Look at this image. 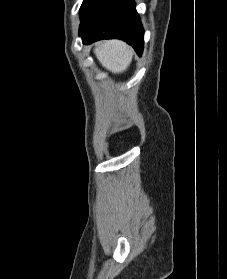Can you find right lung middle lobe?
I'll return each instance as SVG.
<instances>
[{
  "label": "right lung middle lobe",
  "instance_id": "right-lung-middle-lobe-1",
  "mask_svg": "<svg viewBox=\"0 0 227 279\" xmlns=\"http://www.w3.org/2000/svg\"><path fill=\"white\" fill-rule=\"evenodd\" d=\"M93 0H84L81 8H80V16L84 13V11L86 10V8L89 6V4L92 2Z\"/></svg>",
  "mask_w": 227,
  "mask_h": 279
}]
</instances>
